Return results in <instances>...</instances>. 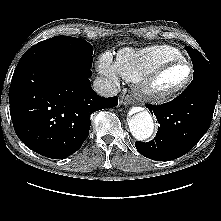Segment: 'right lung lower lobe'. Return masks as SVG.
Segmentation results:
<instances>
[{
    "label": "right lung lower lobe",
    "mask_w": 221,
    "mask_h": 221,
    "mask_svg": "<svg viewBox=\"0 0 221 221\" xmlns=\"http://www.w3.org/2000/svg\"><path fill=\"white\" fill-rule=\"evenodd\" d=\"M88 67L37 47L27 50L14 71L10 114L19 139L53 159L76 152L89 135L90 115L113 108L117 97L103 98L91 88Z\"/></svg>",
    "instance_id": "1"
}]
</instances>
